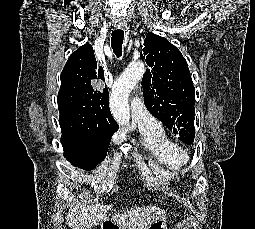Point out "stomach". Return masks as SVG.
<instances>
[{"label": "stomach", "instance_id": "obj_1", "mask_svg": "<svg viewBox=\"0 0 255 229\" xmlns=\"http://www.w3.org/2000/svg\"><path fill=\"white\" fill-rule=\"evenodd\" d=\"M106 222H108V221H105L102 223L101 229H103V226L106 224ZM111 223H113V222H111ZM113 226H115L114 229H122V227H120L114 223H113ZM146 229H167L166 217H161V218L156 219L155 221L152 222V224L147 226Z\"/></svg>", "mask_w": 255, "mask_h": 229}]
</instances>
